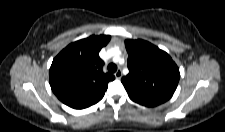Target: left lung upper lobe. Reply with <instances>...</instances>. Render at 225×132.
Wrapping results in <instances>:
<instances>
[{"label":"left lung upper lobe","mask_w":225,"mask_h":132,"mask_svg":"<svg viewBox=\"0 0 225 132\" xmlns=\"http://www.w3.org/2000/svg\"><path fill=\"white\" fill-rule=\"evenodd\" d=\"M129 74L121 79L129 97L141 105L157 106L176 90L180 73L172 58L144 40H126Z\"/></svg>","instance_id":"left-lung-upper-lobe-1"}]
</instances>
